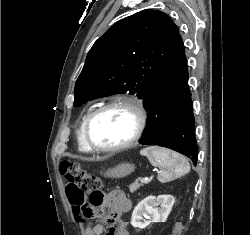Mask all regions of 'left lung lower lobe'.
I'll list each match as a JSON object with an SVG mask.
<instances>
[{
  "label": "left lung lower lobe",
  "mask_w": 250,
  "mask_h": 235,
  "mask_svg": "<svg viewBox=\"0 0 250 235\" xmlns=\"http://www.w3.org/2000/svg\"><path fill=\"white\" fill-rule=\"evenodd\" d=\"M190 96L187 59L179 35L143 97L149 113L140 143L175 150L196 165L198 151Z\"/></svg>",
  "instance_id": "1"
}]
</instances>
